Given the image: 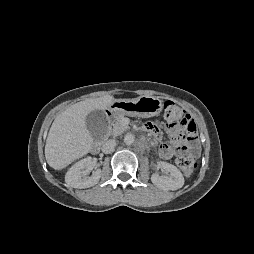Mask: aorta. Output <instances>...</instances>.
<instances>
[{
  "instance_id": "aorta-1",
  "label": "aorta",
  "mask_w": 254,
  "mask_h": 254,
  "mask_svg": "<svg viewBox=\"0 0 254 254\" xmlns=\"http://www.w3.org/2000/svg\"><path fill=\"white\" fill-rule=\"evenodd\" d=\"M134 135H132V134H127V135H125V137H124V143L126 144V145H131V144H133L134 143Z\"/></svg>"
}]
</instances>
